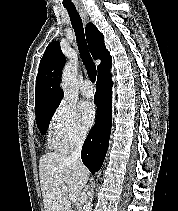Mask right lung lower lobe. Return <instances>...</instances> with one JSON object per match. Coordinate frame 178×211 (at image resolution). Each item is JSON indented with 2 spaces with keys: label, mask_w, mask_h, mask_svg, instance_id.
Here are the masks:
<instances>
[{
  "label": "right lung lower lobe",
  "mask_w": 178,
  "mask_h": 211,
  "mask_svg": "<svg viewBox=\"0 0 178 211\" xmlns=\"http://www.w3.org/2000/svg\"><path fill=\"white\" fill-rule=\"evenodd\" d=\"M95 104L96 122L83 147L82 161L92 174L99 171L109 145L112 114V80L110 72L97 77Z\"/></svg>",
  "instance_id": "right-lung-lower-lobe-1"
}]
</instances>
